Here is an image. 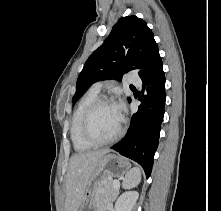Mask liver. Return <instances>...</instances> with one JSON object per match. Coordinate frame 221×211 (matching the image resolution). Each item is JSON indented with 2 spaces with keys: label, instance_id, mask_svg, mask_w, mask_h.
Returning a JSON list of instances; mask_svg holds the SVG:
<instances>
[{
  "label": "liver",
  "instance_id": "liver-1",
  "mask_svg": "<svg viewBox=\"0 0 221 211\" xmlns=\"http://www.w3.org/2000/svg\"><path fill=\"white\" fill-rule=\"evenodd\" d=\"M107 153L109 150H96L71 156L65 181L64 211H78L88 179L94 172L98 160Z\"/></svg>",
  "mask_w": 221,
  "mask_h": 211
}]
</instances>
